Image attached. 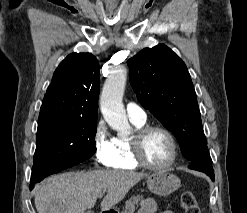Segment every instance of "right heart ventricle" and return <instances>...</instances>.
I'll return each mask as SVG.
<instances>
[{
  "label": "right heart ventricle",
  "mask_w": 247,
  "mask_h": 213,
  "mask_svg": "<svg viewBox=\"0 0 247 213\" xmlns=\"http://www.w3.org/2000/svg\"><path fill=\"white\" fill-rule=\"evenodd\" d=\"M136 129L144 126V123L131 121ZM116 156L112 164L113 168L122 170H135L138 165L132 158L130 149V138L117 137L114 139Z\"/></svg>",
  "instance_id": "obj_1"
}]
</instances>
